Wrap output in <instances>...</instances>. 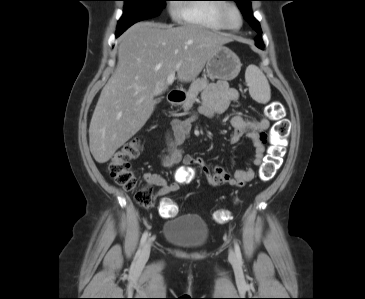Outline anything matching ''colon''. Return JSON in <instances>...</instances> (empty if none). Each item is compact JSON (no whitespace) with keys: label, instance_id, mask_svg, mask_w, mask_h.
Returning <instances> with one entry per match:
<instances>
[{"label":"colon","instance_id":"obj_1","mask_svg":"<svg viewBox=\"0 0 365 299\" xmlns=\"http://www.w3.org/2000/svg\"><path fill=\"white\" fill-rule=\"evenodd\" d=\"M267 112L269 118L275 120V124L270 132L269 154L259 172L260 179L265 182L270 181L275 176L281 165L288 135V123L282 118V105L276 102L268 108ZM140 151V140L138 138L131 139L113 155L108 165V171L119 186L126 191L134 192L135 199L141 206L149 208L154 204L152 189L148 186H139L137 176L130 163L139 155ZM187 181L188 179L185 180V182ZM177 210L178 206L172 200L166 199L162 202L160 213L163 217H171ZM213 216L219 224H224L231 219V214L227 209H217Z\"/></svg>","mask_w":365,"mask_h":299}]
</instances>
